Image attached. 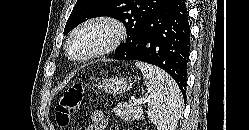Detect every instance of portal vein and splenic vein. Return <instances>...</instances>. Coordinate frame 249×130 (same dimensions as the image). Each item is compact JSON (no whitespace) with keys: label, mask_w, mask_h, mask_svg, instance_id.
Returning <instances> with one entry per match:
<instances>
[{"label":"portal vein and splenic vein","mask_w":249,"mask_h":130,"mask_svg":"<svg viewBox=\"0 0 249 130\" xmlns=\"http://www.w3.org/2000/svg\"><path fill=\"white\" fill-rule=\"evenodd\" d=\"M147 102L146 98H141V99H133V103L134 105H141Z\"/></svg>","instance_id":"obj_1"}]
</instances>
